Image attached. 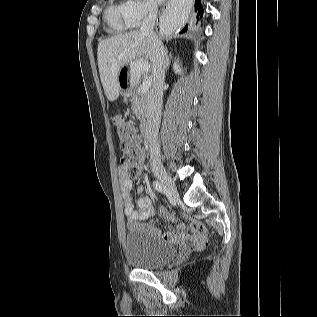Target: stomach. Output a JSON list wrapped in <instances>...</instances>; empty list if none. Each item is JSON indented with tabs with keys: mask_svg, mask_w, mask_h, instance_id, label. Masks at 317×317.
Instances as JSON below:
<instances>
[{
	"mask_svg": "<svg viewBox=\"0 0 317 317\" xmlns=\"http://www.w3.org/2000/svg\"><path fill=\"white\" fill-rule=\"evenodd\" d=\"M147 59H130L129 63L118 73L117 90L120 94H130L131 87L142 82L139 74H146Z\"/></svg>",
	"mask_w": 317,
	"mask_h": 317,
	"instance_id": "stomach-1",
	"label": "stomach"
}]
</instances>
